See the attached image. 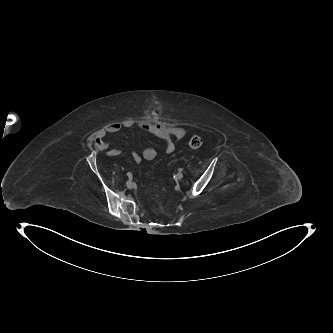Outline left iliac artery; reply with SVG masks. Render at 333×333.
Wrapping results in <instances>:
<instances>
[{"mask_svg": "<svg viewBox=\"0 0 333 333\" xmlns=\"http://www.w3.org/2000/svg\"><path fill=\"white\" fill-rule=\"evenodd\" d=\"M178 171H179V172H182V171H183V168H179Z\"/></svg>", "mask_w": 333, "mask_h": 333, "instance_id": "1", "label": "left iliac artery"}]
</instances>
